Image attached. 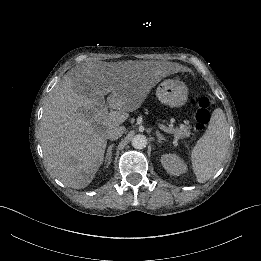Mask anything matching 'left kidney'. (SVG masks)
I'll use <instances>...</instances> for the list:
<instances>
[{"mask_svg":"<svg viewBox=\"0 0 261 261\" xmlns=\"http://www.w3.org/2000/svg\"><path fill=\"white\" fill-rule=\"evenodd\" d=\"M161 163L170 175L178 176L186 171L185 164L175 155H164Z\"/></svg>","mask_w":261,"mask_h":261,"instance_id":"left-kidney-1","label":"left kidney"}]
</instances>
